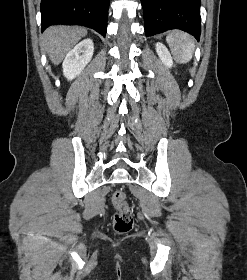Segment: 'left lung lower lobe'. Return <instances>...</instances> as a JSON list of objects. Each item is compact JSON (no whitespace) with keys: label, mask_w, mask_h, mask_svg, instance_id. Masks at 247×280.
I'll return each mask as SVG.
<instances>
[{"label":"left lung lower lobe","mask_w":247,"mask_h":280,"mask_svg":"<svg viewBox=\"0 0 247 280\" xmlns=\"http://www.w3.org/2000/svg\"><path fill=\"white\" fill-rule=\"evenodd\" d=\"M146 36L181 29L200 38V0H141Z\"/></svg>","instance_id":"left-lung-lower-lobe-1"}]
</instances>
